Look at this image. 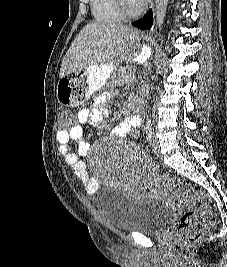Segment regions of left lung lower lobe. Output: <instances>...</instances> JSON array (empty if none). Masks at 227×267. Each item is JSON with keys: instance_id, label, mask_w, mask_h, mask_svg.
Here are the masks:
<instances>
[{"instance_id": "obj_1", "label": "left lung lower lobe", "mask_w": 227, "mask_h": 267, "mask_svg": "<svg viewBox=\"0 0 227 267\" xmlns=\"http://www.w3.org/2000/svg\"><path fill=\"white\" fill-rule=\"evenodd\" d=\"M152 18L153 13L152 10H150L143 18L132 23V25L143 30L150 29L152 26Z\"/></svg>"}]
</instances>
